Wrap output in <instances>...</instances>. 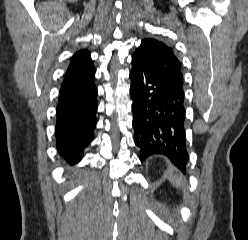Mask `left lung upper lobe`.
<instances>
[{
  "label": "left lung upper lobe",
  "instance_id": "left-lung-upper-lobe-1",
  "mask_svg": "<svg viewBox=\"0 0 248 240\" xmlns=\"http://www.w3.org/2000/svg\"><path fill=\"white\" fill-rule=\"evenodd\" d=\"M134 57L146 62L165 79L183 91V74L181 62L174 54L173 49L154 38H146L133 54Z\"/></svg>",
  "mask_w": 248,
  "mask_h": 240
}]
</instances>
